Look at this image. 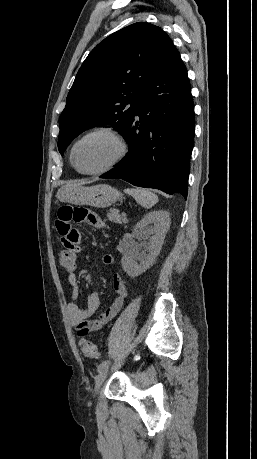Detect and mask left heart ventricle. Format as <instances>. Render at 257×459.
I'll return each instance as SVG.
<instances>
[{
	"mask_svg": "<svg viewBox=\"0 0 257 459\" xmlns=\"http://www.w3.org/2000/svg\"><path fill=\"white\" fill-rule=\"evenodd\" d=\"M118 151L119 146L112 137L98 134L83 140L77 146L75 161L81 170H96L112 161Z\"/></svg>",
	"mask_w": 257,
	"mask_h": 459,
	"instance_id": "1",
	"label": "left heart ventricle"
}]
</instances>
